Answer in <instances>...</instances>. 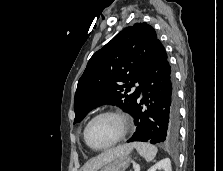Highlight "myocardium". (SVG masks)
I'll return each mask as SVG.
<instances>
[{"instance_id":"f54148a6","label":"myocardium","mask_w":223,"mask_h":171,"mask_svg":"<svg viewBox=\"0 0 223 171\" xmlns=\"http://www.w3.org/2000/svg\"><path fill=\"white\" fill-rule=\"evenodd\" d=\"M103 116H113V117H116L120 123H121V126H122V130H121V133L120 135L118 136V138L116 140H114L112 143H110L109 145H106L104 147H95L93 146L89 139H88V129L90 127V125L98 118L100 117H103ZM130 130V121H129V118L127 117L126 114H124L123 112L121 111H117V110H105V111H102L98 114H96L95 116H93L89 121L88 123L86 124L85 128H84V133H83V136H84V140L86 142V144L93 150L95 151H103V150H106V149H109L113 146H115L116 144H118L120 141H122L125 136L127 135V133L129 132Z\"/></svg>"}]
</instances>
